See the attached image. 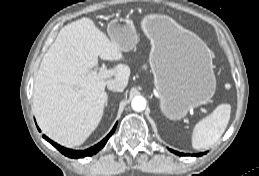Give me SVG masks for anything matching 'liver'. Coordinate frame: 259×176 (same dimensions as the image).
I'll return each mask as SVG.
<instances>
[{
    "mask_svg": "<svg viewBox=\"0 0 259 176\" xmlns=\"http://www.w3.org/2000/svg\"><path fill=\"white\" fill-rule=\"evenodd\" d=\"M99 58L119 62L121 46L88 18L66 25L43 57L34 81V107L40 126L54 139L81 144L96 130L108 104L106 87L122 90L131 70L112 67L108 78L98 76Z\"/></svg>",
    "mask_w": 259,
    "mask_h": 176,
    "instance_id": "1",
    "label": "liver"
}]
</instances>
